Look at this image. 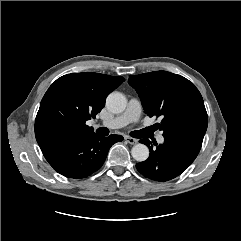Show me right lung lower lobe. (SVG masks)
I'll return each instance as SVG.
<instances>
[{
    "label": "right lung lower lobe",
    "mask_w": 241,
    "mask_h": 241,
    "mask_svg": "<svg viewBox=\"0 0 241 241\" xmlns=\"http://www.w3.org/2000/svg\"><path fill=\"white\" fill-rule=\"evenodd\" d=\"M122 140L120 135L102 137L92 133L56 140L40 148L58 173L80 179L97 171L103 165L110 147Z\"/></svg>",
    "instance_id": "right-lung-lower-lobe-1"
}]
</instances>
